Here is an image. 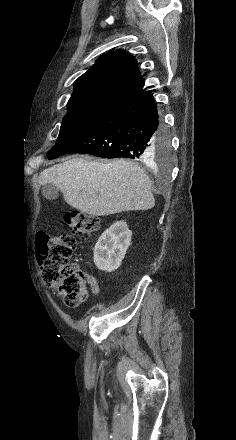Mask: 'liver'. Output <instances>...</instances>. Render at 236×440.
I'll list each match as a JSON object with an SVG mask.
<instances>
[{
	"instance_id": "liver-1",
	"label": "liver",
	"mask_w": 236,
	"mask_h": 440,
	"mask_svg": "<svg viewBox=\"0 0 236 440\" xmlns=\"http://www.w3.org/2000/svg\"><path fill=\"white\" fill-rule=\"evenodd\" d=\"M38 183L53 184L68 205L93 216L149 210L155 205L149 177L124 159L101 163L73 158L43 170Z\"/></svg>"
}]
</instances>
